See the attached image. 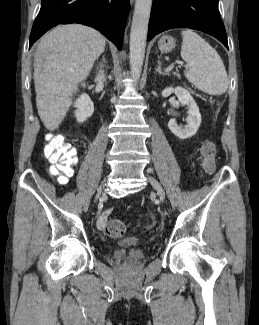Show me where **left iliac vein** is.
<instances>
[{
  "label": "left iliac vein",
  "mask_w": 259,
  "mask_h": 325,
  "mask_svg": "<svg viewBox=\"0 0 259 325\" xmlns=\"http://www.w3.org/2000/svg\"><path fill=\"white\" fill-rule=\"evenodd\" d=\"M148 179L153 188L157 191L159 197L163 200L165 198V192L161 184L152 176H148Z\"/></svg>",
  "instance_id": "1"
}]
</instances>
